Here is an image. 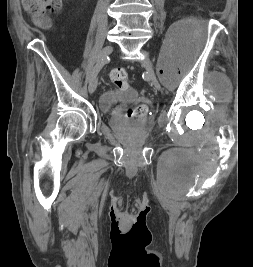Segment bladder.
Here are the masks:
<instances>
[{"mask_svg":"<svg viewBox=\"0 0 253 267\" xmlns=\"http://www.w3.org/2000/svg\"><path fill=\"white\" fill-rule=\"evenodd\" d=\"M136 96V91L131 87H118L104 91L100 96L99 103L101 107L107 108L118 102L132 101Z\"/></svg>","mask_w":253,"mask_h":267,"instance_id":"obj_1","label":"bladder"}]
</instances>
